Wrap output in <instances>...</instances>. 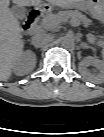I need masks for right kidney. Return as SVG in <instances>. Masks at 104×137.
Masks as SVG:
<instances>
[{"label":"right kidney","instance_id":"right-kidney-1","mask_svg":"<svg viewBox=\"0 0 104 137\" xmlns=\"http://www.w3.org/2000/svg\"><path fill=\"white\" fill-rule=\"evenodd\" d=\"M36 64V56L32 52H24L14 63V69L17 74L22 75L30 72Z\"/></svg>","mask_w":104,"mask_h":137}]
</instances>
